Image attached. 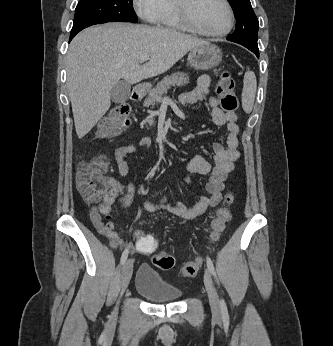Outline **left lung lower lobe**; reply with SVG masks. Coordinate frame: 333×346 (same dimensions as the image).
<instances>
[{"instance_id": "0a47b994", "label": "left lung lower lobe", "mask_w": 333, "mask_h": 346, "mask_svg": "<svg viewBox=\"0 0 333 346\" xmlns=\"http://www.w3.org/2000/svg\"><path fill=\"white\" fill-rule=\"evenodd\" d=\"M248 49L251 50L252 52H254L257 57H259V49L258 48L249 47Z\"/></svg>"}]
</instances>
